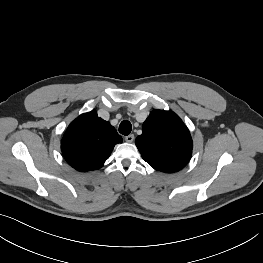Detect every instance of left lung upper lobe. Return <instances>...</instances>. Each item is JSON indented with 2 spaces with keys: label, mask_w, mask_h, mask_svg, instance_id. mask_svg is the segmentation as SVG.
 I'll return each mask as SVG.
<instances>
[{
  "label": "left lung upper lobe",
  "mask_w": 263,
  "mask_h": 263,
  "mask_svg": "<svg viewBox=\"0 0 263 263\" xmlns=\"http://www.w3.org/2000/svg\"><path fill=\"white\" fill-rule=\"evenodd\" d=\"M142 158L155 170L173 173L189 162L192 138L182 120L172 111L153 110L136 138Z\"/></svg>",
  "instance_id": "obj_1"
}]
</instances>
